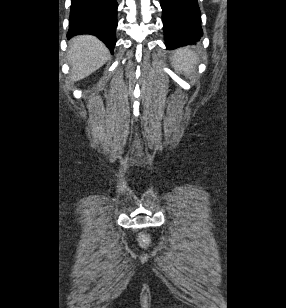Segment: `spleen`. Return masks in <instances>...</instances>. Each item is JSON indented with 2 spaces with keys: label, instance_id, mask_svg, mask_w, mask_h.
Returning <instances> with one entry per match:
<instances>
[{
  "label": "spleen",
  "instance_id": "3e777b00",
  "mask_svg": "<svg viewBox=\"0 0 286 308\" xmlns=\"http://www.w3.org/2000/svg\"><path fill=\"white\" fill-rule=\"evenodd\" d=\"M198 61L197 54L187 48L177 50L172 57L175 70L187 75L195 70Z\"/></svg>",
  "mask_w": 286,
  "mask_h": 308
}]
</instances>
